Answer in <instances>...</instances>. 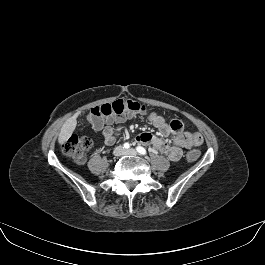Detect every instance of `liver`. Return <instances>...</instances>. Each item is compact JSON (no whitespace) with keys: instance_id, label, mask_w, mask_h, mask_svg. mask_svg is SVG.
<instances>
[{"instance_id":"liver-1","label":"liver","mask_w":265,"mask_h":265,"mask_svg":"<svg viewBox=\"0 0 265 265\" xmlns=\"http://www.w3.org/2000/svg\"><path fill=\"white\" fill-rule=\"evenodd\" d=\"M78 115H79L78 113L74 114L72 117L67 119L65 123L62 125L58 136V142L60 145L64 144L73 134L77 125Z\"/></svg>"}]
</instances>
